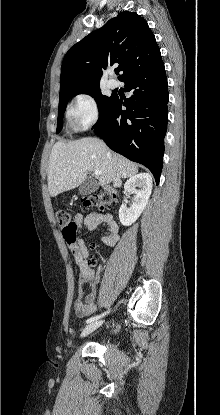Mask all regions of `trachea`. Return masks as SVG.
Listing matches in <instances>:
<instances>
[{
  "mask_svg": "<svg viewBox=\"0 0 220 415\" xmlns=\"http://www.w3.org/2000/svg\"><path fill=\"white\" fill-rule=\"evenodd\" d=\"M115 73L118 75L119 74V71H115Z\"/></svg>",
  "mask_w": 220,
  "mask_h": 415,
  "instance_id": "1",
  "label": "trachea"
}]
</instances>
